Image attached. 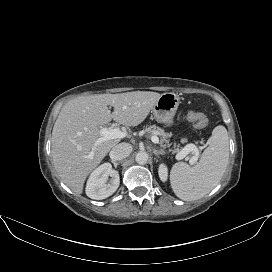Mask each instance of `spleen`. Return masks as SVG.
<instances>
[{
    "label": "spleen",
    "instance_id": "3e777b00",
    "mask_svg": "<svg viewBox=\"0 0 272 272\" xmlns=\"http://www.w3.org/2000/svg\"><path fill=\"white\" fill-rule=\"evenodd\" d=\"M197 165L175 163L170 183L175 195L184 201L197 200L208 194L221 180L229 159V138L226 128L215 127Z\"/></svg>",
    "mask_w": 272,
    "mask_h": 272
}]
</instances>
